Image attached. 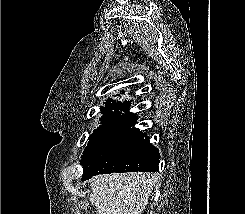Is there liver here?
Returning <instances> with one entry per match:
<instances>
[{
	"label": "liver",
	"instance_id": "1",
	"mask_svg": "<svg viewBox=\"0 0 245 214\" xmlns=\"http://www.w3.org/2000/svg\"><path fill=\"white\" fill-rule=\"evenodd\" d=\"M157 180L136 172L99 175L90 182L89 200L96 214H142Z\"/></svg>",
	"mask_w": 245,
	"mask_h": 214
}]
</instances>
